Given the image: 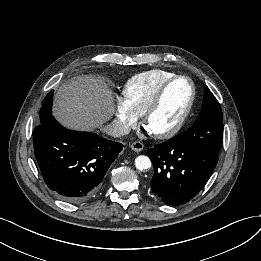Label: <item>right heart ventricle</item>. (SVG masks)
<instances>
[{"instance_id": "1", "label": "right heart ventricle", "mask_w": 261, "mask_h": 261, "mask_svg": "<svg viewBox=\"0 0 261 261\" xmlns=\"http://www.w3.org/2000/svg\"><path fill=\"white\" fill-rule=\"evenodd\" d=\"M176 74L155 69L131 77L124 85V100L132 110L141 116L155 97L161 86Z\"/></svg>"}]
</instances>
